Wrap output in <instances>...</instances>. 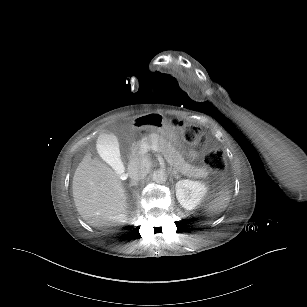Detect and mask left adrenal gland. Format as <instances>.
<instances>
[{
	"label": "left adrenal gland",
	"instance_id": "a2214340",
	"mask_svg": "<svg viewBox=\"0 0 307 307\" xmlns=\"http://www.w3.org/2000/svg\"><path fill=\"white\" fill-rule=\"evenodd\" d=\"M172 174L174 175V177H175L176 179H178V178H179V176H178V174H177V171H176V170L172 171Z\"/></svg>",
	"mask_w": 307,
	"mask_h": 307
}]
</instances>
